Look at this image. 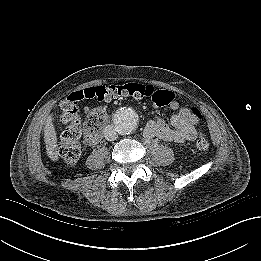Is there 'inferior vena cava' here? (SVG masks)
<instances>
[{"label": "inferior vena cava", "mask_w": 261, "mask_h": 261, "mask_svg": "<svg viewBox=\"0 0 261 261\" xmlns=\"http://www.w3.org/2000/svg\"><path fill=\"white\" fill-rule=\"evenodd\" d=\"M104 137L108 141H114L118 138V134L116 129L112 125L106 126L104 130Z\"/></svg>", "instance_id": "obj_1"}]
</instances>
